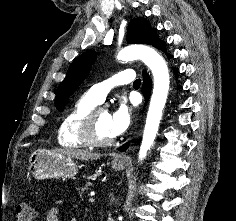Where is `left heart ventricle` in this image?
Listing matches in <instances>:
<instances>
[{
	"label": "left heart ventricle",
	"mask_w": 236,
	"mask_h": 221,
	"mask_svg": "<svg viewBox=\"0 0 236 221\" xmlns=\"http://www.w3.org/2000/svg\"><path fill=\"white\" fill-rule=\"evenodd\" d=\"M97 135L102 139L114 137L110 128V114L107 110H102L97 118L96 125Z\"/></svg>",
	"instance_id": "1"
}]
</instances>
